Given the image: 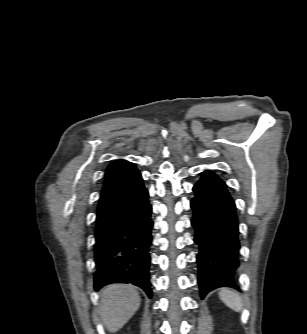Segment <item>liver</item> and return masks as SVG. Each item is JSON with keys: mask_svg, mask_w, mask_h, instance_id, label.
<instances>
[{"mask_svg": "<svg viewBox=\"0 0 307 334\" xmlns=\"http://www.w3.org/2000/svg\"><path fill=\"white\" fill-rule=\"evenodd\" d=\"M100 316L106 329L115 333L138 310L141 302L137 289L128 284H113L101 291Z\"/></svg>", "mask_w": 307, "mask_h": 334, "instance_id": "liver-1", "label": "liver"}]
</instances>
